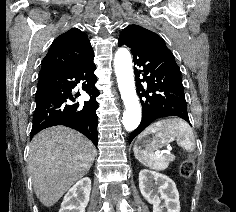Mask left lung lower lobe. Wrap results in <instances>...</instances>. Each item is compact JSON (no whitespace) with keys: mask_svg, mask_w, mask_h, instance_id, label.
I'll list each match as a JSON object with an SVG mask.
<instances>
[{"mask_svg":"<svg viewBox=\"0 0 236 212\" xmlns=\"http://www.w3.org/2000/svg\"><path fill=\"white\" fill-rule=\"evenodd\" d=\"M121 45L128 46L133 54L142 104V119L130 134L129 143L150 123L163 117L178 116L190 124L181 71L164 40L145 31L123 30L118 39V46ZM140 73L143 79H139Z\"/></svg>","mask_w":236,"mask_h":212,"instance_id":"1","label":"left lung lower lobe"}]
</instances>
